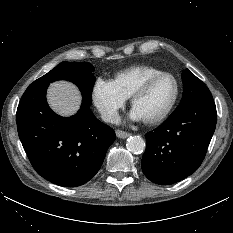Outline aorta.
Returning <instances> with one entry per match:
<instances>
[{
    "instance_id": "1",
    "label": "aorta",
    "mask_w": 233,
    "mask_h": 233,
    "mask_svg": "<svg viewBox=\"0 0 233 233\" xmlns=\"http://www.w3.org/2000/svg\"><path fill=\"white\" fill-rule=\"evenodd\" d=\"M126 146L130 152L140 154L145 150V141L140 136H131L127 139Z\"/></svg>"
}]
</instances>
